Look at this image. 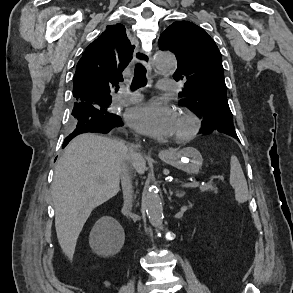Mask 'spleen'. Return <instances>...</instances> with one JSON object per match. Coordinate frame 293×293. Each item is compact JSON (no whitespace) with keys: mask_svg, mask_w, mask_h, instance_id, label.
<instances>
[{"mask_svg":"<svg viewBox=\"0 0 293 293\" xmlns=\"http://www.w3.org/2000/svg\"><path fill=\"white\" fill-rule=\"evenodd\" d=\"M230 184L235 190V200L238 203H244L248 200L247 182L236 156L232 155L230 160Z\"/></svg>","mask_w":293,"mask_h":293,"instance_id":"obj_1","label":"spleen"}]
</instances>
